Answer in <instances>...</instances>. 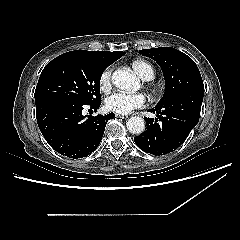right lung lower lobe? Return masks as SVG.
Instances as JSON below:
<instances>
[{
    "instance_id": "right-lung-lower-lobe-1",
    "label": "right lung lower lobe",
    "mask_w": 240,
    "mask_h": 240,
    "mask_svg": "<svg viewBox=\"0 0 240 240\" xmlns=\"http://www.w3.org/2000/svg\"><path fill=\"white\" fill-rule=\"evenodd\" d=\"M36 103L39 129L48 144L58 153L78 159L96 150L104 134L108 115L84 116L86 104L65 97H50ZM101 101L90 104L98 109Z\"/></svg>"
}]
</instances>
